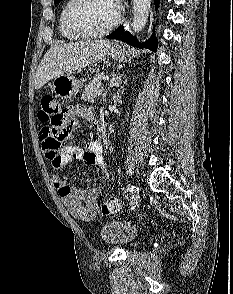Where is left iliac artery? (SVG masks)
<instances>
[{"instance_id":"left-iliac-artery-1","label":"left iliac artery","mask_w":233,"mask_h":294,"mask_svg":"<svg viewBox=\"0 0 233 294\" xmlns=\"http://www.w3.org/2000/svg\"><path fill=\"white\" fill-rule=\"evenodd\" d=\"M126 191L127 192H136V191H139V188L135 187V186H132V187H128L126 188Z\"/></svg>"}]
</instances>
